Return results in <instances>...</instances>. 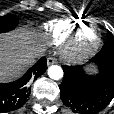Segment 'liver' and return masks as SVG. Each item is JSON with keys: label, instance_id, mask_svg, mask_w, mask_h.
Instances as JSON below:
<instances>
[{"label": "liver", "instance_id": "1", "mask_svg": "<svg viewBox=\"0 0 114 114\" xmlns=\"http://www.w3.org/2000/svg\"><path fill=\"white\" fill-rule=\"evenodd\" d=\"M44 39L26 29L0 35V82L18 78L34 61L29 54L45 51Z\"/></svg>", "mask_w": 114, "mask_h": 114}]
</instances>
